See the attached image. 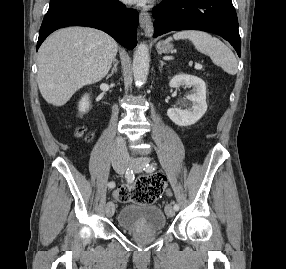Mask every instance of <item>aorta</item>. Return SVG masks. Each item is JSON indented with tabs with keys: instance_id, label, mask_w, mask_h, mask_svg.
I'll return each mask as SVG.
<instances>
[{
	"instance_id": "aorta-1",
	"label": "aorta",
	"mask_w": 286,
	"mask_h": 269,
	"mask_svg": "<svg viewBox=\"0 0 286 269\" xmlns=\"http://www.w3.org/2000/svg\"><path fill=\"white\" fill-rule=\"evenodd\" d=\"M149 50L144 43L138 45L133 58V74L136 85H142L148 76Z\"/></svg>"
}]
</instances>
